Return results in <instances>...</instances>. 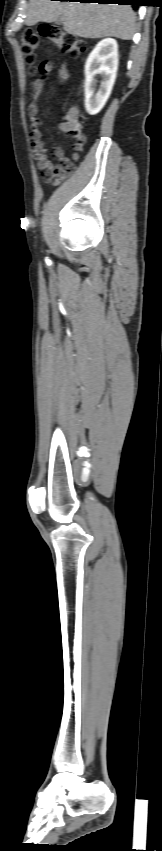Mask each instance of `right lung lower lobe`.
I'll use <instances>...</instances> for the list:
<instances>
[{"mask_svg": "<svg viewBox=\"0 0 162 851\" xmlns=\"http://www.w3.org/2000/svg\"><path fill=\"white\" fill-rule=\"evenodd\" d=\"M60 1H80L100 4H119V5H137L140 6L141 0H60Z\"/></svg>", "mask_w": 162, "mask_h": 851, "instance_id": "1", "label": "right lung lower lobe"}]
</instances>
